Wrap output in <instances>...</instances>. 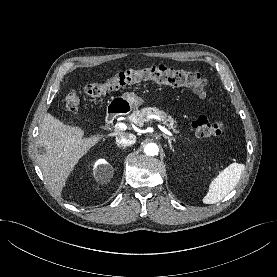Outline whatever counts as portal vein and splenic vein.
Here are the masks:
<instances>
[{"label": "portal vein and splenic vein", "mask_w": 277, "mask_h": 277, "mask_svg": "<svg viewBox=\"0 0 277 277\" xmlns=\"http://www.w3.org/2000/svg\"><path fill=\"white\" fill-rule=\"evenodd\" d=\"M114 128L116 130H126L127 129V126L124 124V123H117L115 124ZM159 128L162 132H164L165 134L169 135V136H173V134L168 130L166 129L165 127L159 125Z\"/></svg>", "instance_id": "obj_1"}]
</instances>
